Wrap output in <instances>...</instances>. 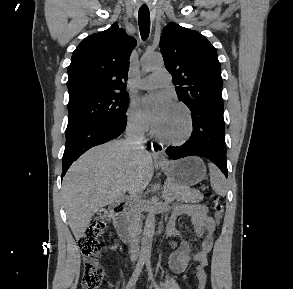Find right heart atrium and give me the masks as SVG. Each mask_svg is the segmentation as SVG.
Masks as SVG:
<instances>
[{
    "label": "right heart atrium",
    "mask_w": 293,
    "mask_h": 289,
    "mask_svg": "<svg viewBox=\"0 0 293 289\" xmlns=\"http://www.w3.org/2000/svg\"><path fill=\"white\" fill-rule=\"evenodd\" d=\"M127 126L136 134H145L149 130V122L136 103L131 102L126 112Z\"/></svg>",
    "instance_id": "obj_1"
}]
</instances>
